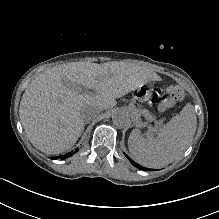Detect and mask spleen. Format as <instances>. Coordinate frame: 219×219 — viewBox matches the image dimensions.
Returning <instances> with one entry per match:
<instances>
[{
  "mask_svg": "<svg viewBox=\"0 0 219 219\" xmlns=\"http://www.w3.org/2000/svg\"><path fill=\"white\" fill-rule=\"evenodd\" d=\"M197 117L192 105L166 123L156 137L143 138L136 129L128 139L132 158L147 168H161L175 160L188 148L196 132Z\"/></svg>",
  "mask_w": 219,
  "mask_h": 219,
  "instance_id": "3e777b00",
  "label": "spleen"
}]
</instances>
